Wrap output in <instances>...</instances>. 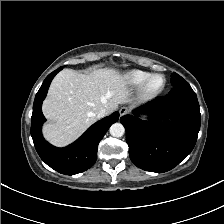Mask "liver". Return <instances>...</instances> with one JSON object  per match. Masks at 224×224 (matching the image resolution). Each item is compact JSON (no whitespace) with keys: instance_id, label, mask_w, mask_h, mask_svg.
Returning <instances> with one entry per match:
<instances>
[{"instance_id":"liver-1","label":"liver","mask_w":224,"mask_h":224,"mask_svg":"<svg viewBox=\"0 0 224 224\" xmlns=\"http://www.w3.org/2000/svg\"><path fill=\"white\" fill-rule=\"evenodd\" d=\"M130 94L127 77L117 69H97L89 74L64 69L53 79L43 102V114L51 121L43 127L44 137L56 146H65L98 120L101 108L110 114L119 104L129 103Z\"/></svg>"}]
</instances>
